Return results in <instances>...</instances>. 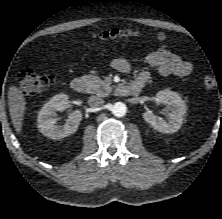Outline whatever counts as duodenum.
<instances>
[{"label":"duodenum","mask_w":222,"mask_h":219,"mask_svg":"<svg viewBox=\"0 0 222 219\" xmlns=\"http://www.w3.org/2000/svg\"><path fill=\"white\" fill-rule=\"evenodd\" d=\"M71 88L76 93H83L87 88L86 80L82 77H76L71 81ZM142 88V84L139 82H133L128 85H120L116 89L118 95H137Z\"/></svg>","instance_id":"obj_1"}]
</instances>
